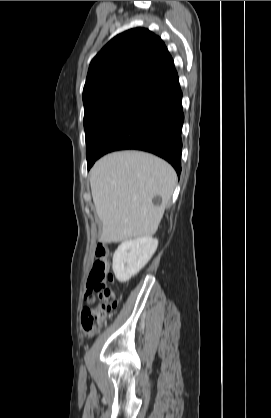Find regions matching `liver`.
I'll use <instances>...</instances> for the list:
<instances>
[{"label": "liver", "instance_id": "obj_1", "mask_svg": "<svg viewBox=\"0 0 271 418\" xmlns=\"http://www.w3.org/2000/svg\"><path fill=\"white\" fill-rule=\"evenodd\" d=\"M177 182L173 167L139 151H120L99 159L90 171V186L102 222V243L151 237L158 229ZM160 196L162 203L153 204Z\"/></svg>", "mask_w": 271, "mask_h": 418}]
</instances>
